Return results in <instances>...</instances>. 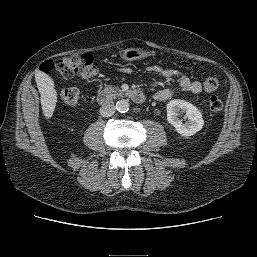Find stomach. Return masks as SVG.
I'll return each instance as SVG.
<instances>
[{
	"mask_svg": "<svg viewBox=\"0 0 257 257\" xmlns=\"http://www.w3.org/2000/svg\"><path fill=\"white\" fill-rule=\"evenodd\" d=\"M120 56L124 61H134L147 58L150 56V53L140 48H129L124 50Z\"/></svg>",
	"mask_w": 257,
	"mask_h": 257,
	"instance_id": "obj_1",
	"label": "stomach"
}]
</instances>
